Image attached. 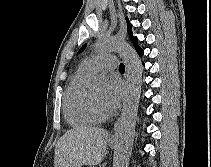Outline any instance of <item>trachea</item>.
Returning a JSON list of instances; mask_svg holds the SVG:
<instances>
[{
  "instance_id": "trachea-1",
  "label": "trachea",
  "mask_w": 211,
  "mask_h": 167,
  "mask_svg": "<svg viewBox=\"0 0 211 167\" xmlns=\"http://www.w3.org/2000/svg\"><path fill=\"white\" fill-rule=\"evenodd\" d=\"M119 70H120V71H124V70H125V66H124L123 63H121V64L119 65Z\"/></svg>"
}]
</instances>
